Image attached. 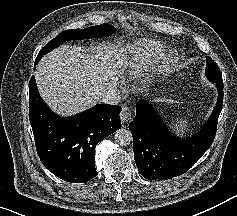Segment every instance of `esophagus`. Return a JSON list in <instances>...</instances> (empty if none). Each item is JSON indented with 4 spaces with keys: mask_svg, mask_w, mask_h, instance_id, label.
I'll list each match as a JSON object with an SVG mask.
<instances>
[{
    "mask_svg": "<svg viewBox=\"0 0 237 216\" xmlns=\"http://www.w3.org/2000/svg\"><path fill=\"white\" fill-rule=\"evenodd\" d=\"M132 119V111L128 107H123L120 113V120L122 123H128Z\"/></svg>",
    "mask_w": 237,
    "mask_h": 216,
    "instance_id": "1",
    "label": "esophagus"
}]
</instances>
